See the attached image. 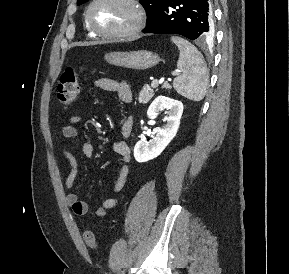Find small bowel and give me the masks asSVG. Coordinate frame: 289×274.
Returning a JSON list of instances; mask_svg holds the SVG:
<instances>
[{"instance_id":"c3829d8e","label":"small bowel","mask_w":289,"mask_h":274,"mask_svg":"<svg viewBox=\"0 0 289 274\" xmlns=\"http://www.w3.org/2000/svg\"><path fill=\"white\" fill-rule=\"evenodd\" d=\"M95 86L101 90L117 93L119 99L123 103H131L133 101V92L131 85L124 81H117L110 78H101L95 81ZM81 121L79 115L71 116L68 122L62 127V135L68 139L73 140L76 138L78 131L76 124ZM133 126V120L131 117L126 118L121 126V138H119L113 146L114 152L120 156L124 162L120 168L118 177L114 184L113 192L118 194L125 186L129 169L127 163L130 160V148L127 142V138L131 133ZM73 145L71 142H67L63 146V155L67 159L70 165V172L66 179V187L68 192L66 194V202L71 206L73 212L77 216H85L89 213V206L87 202L80 200L78 195L73 191L74 183L78 174V161L72 152ZM81 153L87 158H91L94 155V147L90 142H83L81 144ZM118 198L108 197L102 201L101 205L93 210L91 214L96 217H104L108 211L114 208L118 204Z\"/></svg>"}]
</instances>
